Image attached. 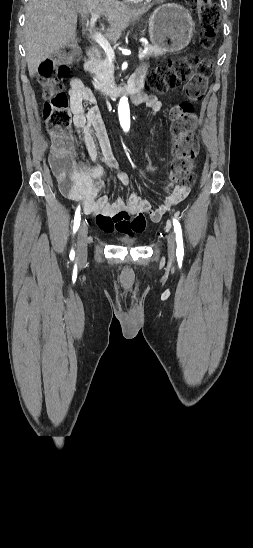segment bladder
Here are the masks:
<instances>
[{
  "instance_id": "obj_1",
  "label": "bladder",
  "mask_w": 253,
  "mask_h": 548,
  "mask_svg": "<svg viewBox=\"0 0 253 548\" xmlns=\"http://www.w3.org/2000/svg\"><path fill=\"white\" fill-rule=\"evenodd\" d=\"M120 241L125 243V244H134V243H136V240L134 238H131V237H122L120 239Z\"/></svg>"
}]
</instances>
